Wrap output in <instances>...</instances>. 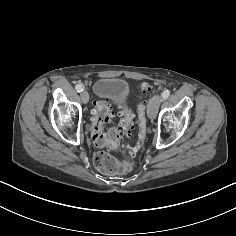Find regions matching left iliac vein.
<instances>
[{"mask_svg": "<svg viewBox=\"0 0 236 236\" xmlns=\"http://www.w3.org/2000/svg\"><path fill=\"white\" fill-rule=\"evenodd\" d=\"M161 100H162V97L161 95H158V94L154 95L150 99L149 104H148V110H147V114L150 119L156 118Z\"/></svg>", "mask_w": 236, "mask_h": 236, "instance_id": "4c4485c4", "label": "left iliac vein"}]
</instances>
